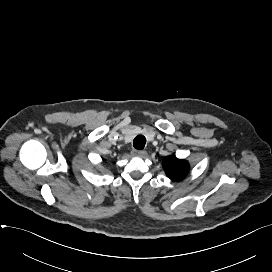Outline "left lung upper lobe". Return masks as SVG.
<instances>
[{"instance_id":"obj_1","label":"left lung upper lobe","mask_w":272,"mask_h":272,"mask_svg":"<svg viewBox=\"0 0 272 272\" xmlns=\"http://www.w3.org/2000/svg\"><path fill=\"white\" fill-rule=\"evenodd\" d=\"M163 168L170 179L177 181L183 179L187 175L189 164L185 160L169 156L163 160Z\"/></svg>"}]
</instances>
